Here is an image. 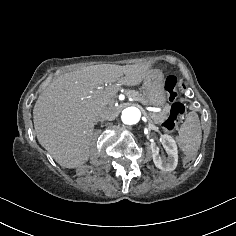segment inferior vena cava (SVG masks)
<instances>
[{"mask_svg": "<svg viewBox=\"0 0 236 236\" xmlns=\"http://www.w3.org/2000/svg\"><path fill=\"white\" fill-rule=\"evenodd\" d=\"M94 118L95 119H100L101 118V113L100 112H95L94 113Z\"/></svg>", "mask_w": 236, "mask_h": 236, "instance_id": "inferior-vena-cava-1", "label": "inferior vena cava"}]
</instances>
